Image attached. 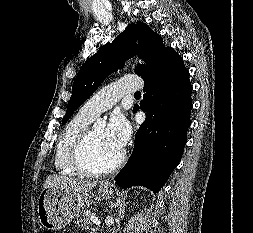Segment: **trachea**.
Listing matches in <instances>:
<instances>
[{
  "label": "trachea",
  "instance_id": "3493384b",
  "mask_svg": "<svg viewBox=\"0 0 253 233\" xmlns=\"http://www.w3.org/2000/svg\"><path fill=\"white\" fill-rule=\"evenodd\" d=\"M134 95H141V93L138 91V92H136Z\"/></svg>",
  "mask_w": 253,
  "mask_h": 233
}]
</instances>
